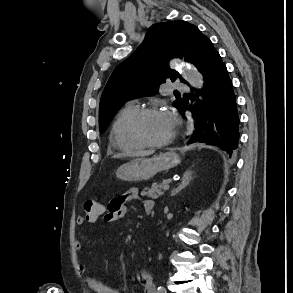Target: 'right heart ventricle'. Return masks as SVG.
Returning <instances> with one entry per match:
<instances>
[{"instance_id": "1", "label": "right heart ventricle", "mask_w": 293, "mask_h": 293, "mask_svg": "<svg viewBox=\"0 0 293 293\" xmlns=\"http://www.w3.org/2000/svg\"><path fill=\"white\" fill-rule=\"evenodd\" d=\"M139 107L129 103L116 115L110 130V143L114 148L125 153H136L145 148L132 134L131 126Z\"/></svg>"}]
</instances>
